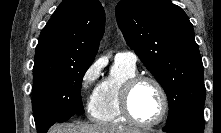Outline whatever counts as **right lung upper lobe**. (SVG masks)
<instances>
[{
    "mask_svg": "<svg viewBox=\"0 0 221 133\" xmlns=\"http://www.w3.org/2000/svg\"><path fill=\"white\" fill-rule=\"evenodd\" d=\"M104 26L105 12L98 0H63L40 34L33 72L93 62Z\"/></svg>",
    "mask_w": 221,
    "mask_h": 133,
    "instance_id": "obj_1",
    "label": "right lung upper lobe"
}]
</instances>
